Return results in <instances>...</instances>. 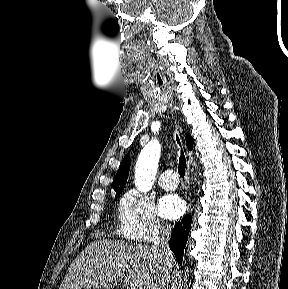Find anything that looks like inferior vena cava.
I'll return each mask as SVG.
<instances>
[{
	"mask_svg": "<svg viewBox=\"0 0 288 289\" xmlns=\"http://www.w3.org/2000/svg\"><path fill=\"white\" fill-rule=\"evenodd\" d=\"M171 234V226L163 224L159 231V236L152 247L154 252L163 260L166 267L170 266L172 253L169 249L168 241Z\"/></svg>",
	"mask_w": 288,
	"mask_h": 289,
	"instance_id": "602c4592",
	"label": "inferior vena cava"
}]
</instances>
